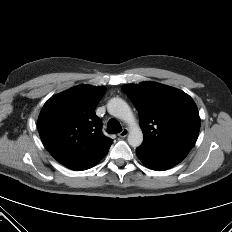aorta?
<instances>
[{
	"label": "aorta",
	"mask_w": 232,
	"mask_h": 232,
	"mask_svg": "<svg viewBox=\"0 0 232 232\" xmlns=\"http://www.w3.org/2000/svg\"><path fill=\"white\" fill-rule=\"evenodd\" d=\"M107 111L110 115L126 122L130 126L128 143L132 147H138L143 141L141 128L136 124L135 117L129 105L121 98H112L107 103Z\"/></svg>",
	"instance_id": "aorta-1"
}]
</instances>
